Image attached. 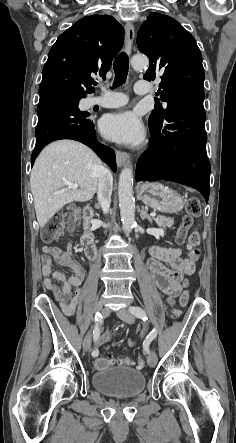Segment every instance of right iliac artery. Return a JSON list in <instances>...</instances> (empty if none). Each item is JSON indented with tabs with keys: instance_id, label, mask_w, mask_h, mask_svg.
I'll list each match as a JSON object with an SVG mask.
<instances>
[{
	"instance_id": "1",
	"label": "right iliac artery",
	"mask_w": 236,
	"mask_h": 443,
	"mask_svg": "<svg viewBox=\"0 0 236 443\" xmlns=\"http://www.w3.org/2000/svg\"><path fill=\"white\" fill-rule=\"evenodd\" d=\"M102 315L100 313H96L95 315V326H94V330H93V339L94 341L98 339L99 335H100V328H99V323L102 321ZM92 356L96 357L98 356V350L94 349L92 351Z\"/></svg>"
}]
</instances>
